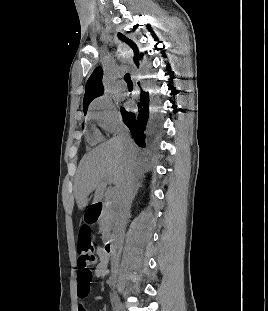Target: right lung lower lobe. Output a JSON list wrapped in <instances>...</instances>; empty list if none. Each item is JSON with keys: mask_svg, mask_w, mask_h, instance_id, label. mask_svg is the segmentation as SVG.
<instances>
[{"mask_svg": "<svg viewBox=\"0 0 268 311\" xmlns=\"http://www.w3.org/2000/svg\"><path fill=\"white\" fill-rule=\"evenodd\" d=\"M156 105L155 97L141 89L136 112L126 111L121 107L123 121L130 129L135 143L140 147L151 144L161 130V118L155 109Z\"/></svg>", "mask_w": 268, "mask_h": 311, "instance_id": "1", "label": "right lung lower lobe"}]
</instances>
